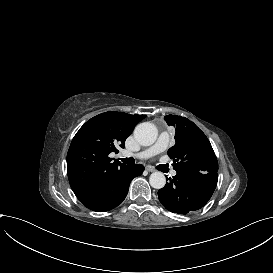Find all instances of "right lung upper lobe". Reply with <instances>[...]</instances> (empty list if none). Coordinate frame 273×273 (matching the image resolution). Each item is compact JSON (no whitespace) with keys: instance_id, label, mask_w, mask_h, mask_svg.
Returning <instances> with one entry per match:
<instances>
[{"instance_id":"obj_1","label":"right lung upper lobe","mask_w":273,"mask_h":273,"mask_svg":"<svg viewBox=\"0 0 273 273\" xmlns=\"http://www.w3.org/2000/svg\"><path fill=\"white\" fill-rule=\"evenodd\" d=\"M146 115L105 112L88 120L74 136L67 154L69 183L77 198L95 191L116 170L126 165L111 162L109 154L124 148L126 138Z\"/></svg>"}]
</instances>
